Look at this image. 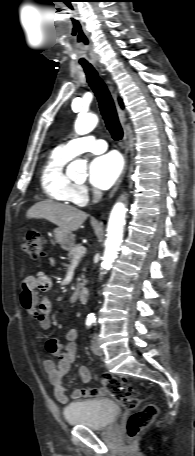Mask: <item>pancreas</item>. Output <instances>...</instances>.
<instances>
[{"instance_id":"obj_1","label":"pancreas","mask_w":195,"mask_h":456,"mask_svg":"<svg viewBox=\"0 0 195 456\" xmlns=\"http://www.w3.org/2000/svg\"><path fill=\"white\" fill-rule=\"evenodd\" d=\"M81 245L79 244H76L74 245L73 247H71L69 250V253H68V257L69 259H74L78 256V252H77V249L80 247ZM82 256V255H81ZM81 279H78V281H80ZM79 285H83L82 283H79Z\"/></svg>"}]
</instances>
